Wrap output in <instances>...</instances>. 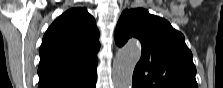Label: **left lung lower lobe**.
I'll list each match as a JSON object with an SVG mask.
<instances>
[{"label":"left lung lower lobe","mask_w":223,"mask_h":88,"mask_svg":"<svg viewBox=\"0 0 223 88\" xmlns=\"http://www.w3.org/2000/svg\"><path fill=\"white\" fill-rule=\"evenodd\" d=\"M132 88H139V86L135 82H133Z\"/></svg>","instance_id":"left-lung-lower-lobe-1"}]
</instances>
